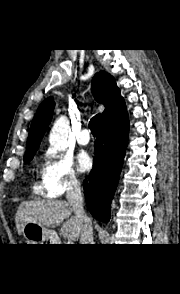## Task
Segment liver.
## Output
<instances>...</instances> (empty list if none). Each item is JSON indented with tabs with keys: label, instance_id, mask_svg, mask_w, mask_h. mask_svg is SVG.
<instances>
[{
	"label": "liver",
	"instance_id": "1",
	"mask_svg": "<svg viewBox=\"0 0 180 294\" xmlns=\"http://www.w3.org/2000/svg\"><path fill=\"white\" fill-rule=\"evenodd\" d=\"M73 209L66 201L38 200L22 202L16 213L15 222L19 235L22 234L26 223H37L41 226L54 228L61 226L63 236L71 240H78L80 233ZM64 219H67L65 222Z\"/></svg>",
	"mask_w": 180,
	"mask_h": 294
}]
</instances>
